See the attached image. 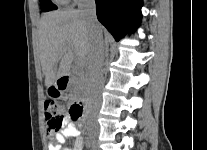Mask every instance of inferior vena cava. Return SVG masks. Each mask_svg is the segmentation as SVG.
I'll return each instance as SVG.
<instances>
[{"label":"inferior vena cava","mask_w":207,"mask_h":150,"mask_svg":"<svg viewBox=\"0 0 207 150\" xmlns=\"http://www.w3.org/2000/svg\"><path fill=\"white\" fill-rule=\"evenodd\" d=\"M79 11L83 14L91 32L92 41L88 54V70L93 98L101 102V91L104 86L103 73V37L99 31L94 0H78Z\"/></svg>","instance_id":"1"}]
</instances>
